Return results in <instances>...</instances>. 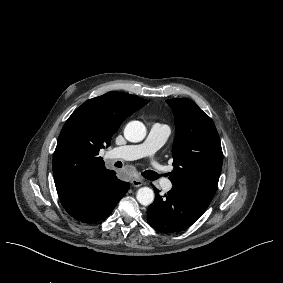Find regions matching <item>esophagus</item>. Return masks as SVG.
Instances as JSON below:
<instances>
[{
	"mask_svg": "<svg viewBox=\"0 0 283 283\" xmlns=\"http://www.w3.org/2000/svg\"><path fill=\"white\" fill-rule=\"evenodd\" d=\"M131 184L135 187H139V186H142L144 184V182L142 180H139V179H132Z\"/></svg>",
	"mask_w": 283,
	"mask_h": 283,
	"instance_id": "obj_1",
	"label": "esophagus"
}]
</instances>
